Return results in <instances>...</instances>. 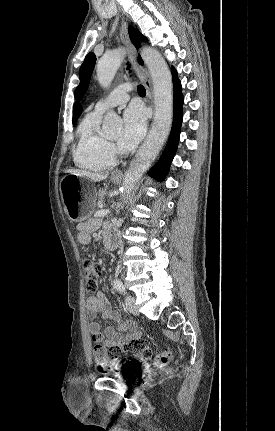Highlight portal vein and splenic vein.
Segmentation results:
<instances>
[{"label":"portal vein and splenic vein","mask_w":275,"mask_h":431,"mask_svg":"<svg viewBox=\"0 0 275 431\" xmlns=\"http://www.w3.org/2000/svg\"><path fill=\"white\" fill-rule=\"evenodd\" d=\"M109 212H110L109 210H99L95 212L94 217L106 216Z\"/></svg>","instance_id":"obj_1"}]
</instances>
